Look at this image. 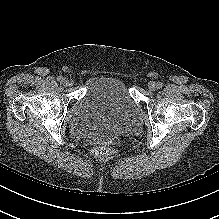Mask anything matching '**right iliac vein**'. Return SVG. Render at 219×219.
Listing matches in <instances>:
<instances>
[{"mask_svg":"<svg viewBox=\"0 0 219 219\" xmlns=\"http://www.w3.org/2000/svg\"><path fill=\"white\" fill-rule=\"evenodd\" d=\"M62 84L65 87H68V86H71L73 83L71 81H69L67 78H64L63 81H62Z\"/></svg>","mask_w":219,"mask_h":219,"instance_id":"1","label":"right iliac vein"}]
</instances>
